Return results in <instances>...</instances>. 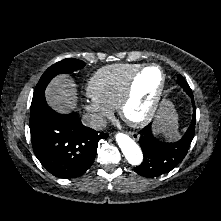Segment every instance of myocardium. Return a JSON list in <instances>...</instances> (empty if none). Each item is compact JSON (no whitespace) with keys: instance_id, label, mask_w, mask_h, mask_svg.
I'll return each mask as SVG.
<instances>
[{"instance_id":"1","label":"myocardium","mask_w":221,"mask_h":221,"mask_svg":"<svg viewBox=\"0 0 221 221\" xmlns=\"http://www.w3.org/2000/svg\"><path fill=\"white\" fill-rule=\"evenodd\" d=\"M150 68L158 69L160 73V77H161L160 85L158 87L156 94L154 95V98L152 100V103L148 111L139 118H132L128 115L127 109L134 99L136 80L143 72H145L147 69H150ZM165 86H166V76L160 65L151 63V64L143 65L140 68H138L129 78L124 94L118 104L117 109L121 118L126 123H128L129 125L133 127H142L150 123L158 111V108L160 106V102L162 100L163 93L165 90Z\"/></svg>"}]
</instances>
